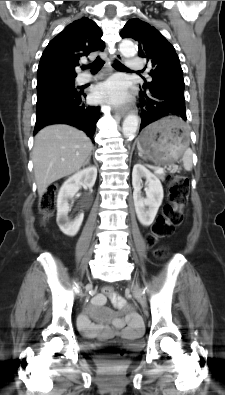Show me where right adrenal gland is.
Wrapping results in <instances>:
<instances>
[{"mask_svg":"<svg viewBox=\"0 0 225 395\" xmlns=\"http://www.w3.org/2000/svg\"><path fill=\"white\" fill-rule=\"evenodd\" d=\"M90 158H91V154H90V156L88 157V159H87V161H86V164H89Z\"/></svg>","mask_w":225,"mask_h":395,"instance_id":"right-adrenal-gland-1","label":"right adrenal gland"}]
</instances>
